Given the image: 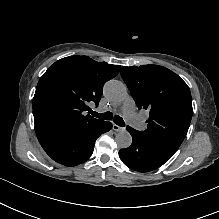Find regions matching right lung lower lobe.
I'll return each mask as SVG.
<instances>
[{
    "mask_svg": "<svg viewBox=\"0 0 219 219\" xmlns=\"http://www.w3.org/2000/svg\"><path fill=\"white\" fill-rule=\"evenodd\" d=\"M112 128L110 122L102 121L89 128H67L36 133L45 152L56 162L65 166L84 163L93 153L96 139Z\"/></svg>",
    "mask_w": 219,
    "mask_h": 219,
    "instance_id": "right-lung-lower-lobe-1",
    "label": "right lung lower lobe"
}]
</instances>
